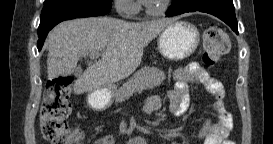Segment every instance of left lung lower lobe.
Segmentation results:
<instances>
[{
    "mask_svg": "<svg viewBox=\"0 0 273 144\" xmlns=\"http://www.w3.org/2000/svg\"><path fill=\"white\" fill-rule=\"evenodd\" d=\"M195 11L206 12L220 18L238 34L233 0H173L166 16L172 17Z\"/></svg>",
    "mask_w": 273,
    "mask_h": 144,
    "instance_id": "obj_1",
    "label": "left lung lower lobe"
}]
</instances>
